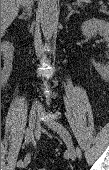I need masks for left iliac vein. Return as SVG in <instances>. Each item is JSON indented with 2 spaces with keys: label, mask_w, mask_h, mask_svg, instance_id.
Listing matches in <instances>:
<instances>
[{
  "label": "left iliac vein",
  "mask_w": 109,
  "mask_h": 170,
  "mask_svg": "<svg viewBox=\"0 0 109 170\" xmlns=\"http://www.w3.org/2000/svg\"><path fill=\"white\" fill-rule=\"evenodd\" d=\"M45 124L61 136L67 146V153L70 159L74 161L77 158V152L69 131L61 123L55 120H47L45 121Z\"/></svg>",
  "instance_id": "left-iliac-vein-1"
}]
</instances>
